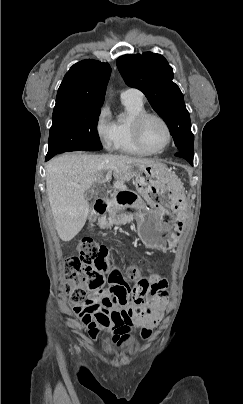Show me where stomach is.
I'll list each match as a JSON object with an SVG mask.
<instances>
[{
	"instance_id": "obj_1",
	"label": "stomach",
	"mask_w": 243,
	"mask_h": 404,
	"mask_svg": "<svg viewBox=\"0 0 243 404\" xmlns=\"http://www.w3.org/2000/svg\"><path fill=\"white\" fill-rule=\"evenodd\" d=\"M136 188L143 197L132 206L138 210V235L149 248L171 249L179 239L187 209L183 184L165 164L154 162L138 169Z\"/></svg>"
}]
</instances>
